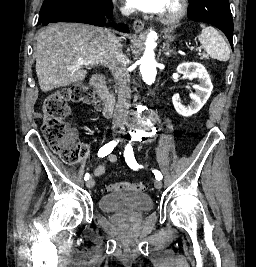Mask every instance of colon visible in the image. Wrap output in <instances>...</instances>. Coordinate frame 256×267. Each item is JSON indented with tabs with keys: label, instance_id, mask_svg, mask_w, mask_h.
Wrapping results in <instances>:
<instances>
[{
	"label": "colon",
	"instance_id": "5ec220e1",
	"mask_svg": "<svg viewBox=\"0 0 256 267\" xmlns=\"http://www.w3.org/2000/svg\"><path fill=\"white\" fill-rule=\"evenodd\" d=\"M69 103L90 105L98 108L95 95L89 87L80 82L48 95L44 101L43 134L50 148L58 153L66 164H74L86 157L88 149L74 143V133L65 118L70 113ZM148 185L136 182H115L106 185V192H143Z\"/></svg>",
	"mask_w": 256,
	"mask_h": 267
}]
</instances>
